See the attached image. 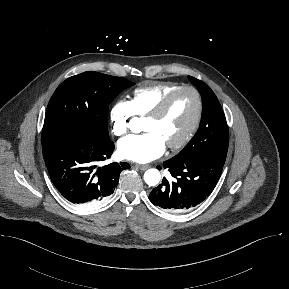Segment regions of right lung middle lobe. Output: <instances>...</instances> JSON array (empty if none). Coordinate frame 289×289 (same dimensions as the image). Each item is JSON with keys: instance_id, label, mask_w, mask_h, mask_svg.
Returning <instances> with one entry per match:
<instances>
[{"instance_id": "1", "label": "right lung middle lobe", "mask_w": 289, "mask_h": 289, "mask_svg": "<svg viewBox=\"0 0 289 289\" xmlns=\"http://www.w3.org/2000/svg\"><path fill=\"white\" fill-rule=\"evenodd\" d=\"M134 83L121 77L84 72L66 79L52 95L42 129V144L77 135L97 143L110 141L108 105Z\"/></svg>"}]
</instances>
